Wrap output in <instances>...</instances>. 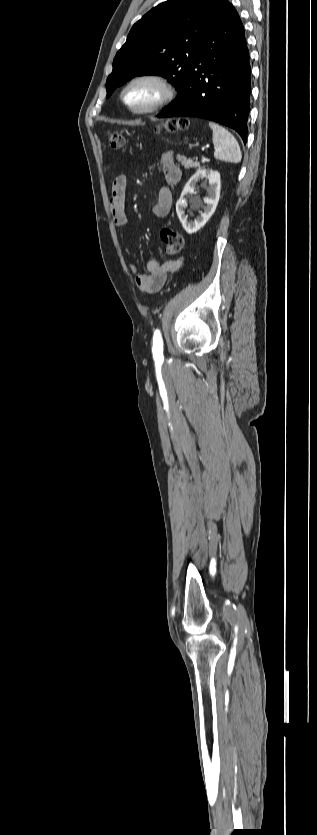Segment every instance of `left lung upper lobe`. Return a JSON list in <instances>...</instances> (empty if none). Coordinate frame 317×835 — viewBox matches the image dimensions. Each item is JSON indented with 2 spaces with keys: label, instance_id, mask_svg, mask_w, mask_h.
<instances>
[{
  "label": "left lung upper lobe",
  "instance_id": "obj_1",
  "mask_svg": "<svg viewBox=\"0 0 317 835\" xmlns=\"http://www.w3.org/2000/svg\"><path fill=\"white\" fill-rule=\"evenodd\" d=\"M230 5L227 0H169L150 10L133 25L113 60L107 97L141 75L168 78L178 97L205 40Z\"/></svg>",
  "mask_w": 317,
  "mask_h": 835
}]
</instances>
